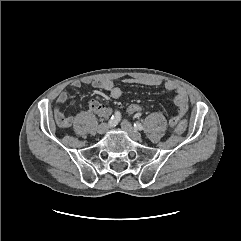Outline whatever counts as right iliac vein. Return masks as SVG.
Returning a JSON list of instances; mask_svg holds the SVG:
<instances>
[{
    "label": "right iliac vein",
    "instance_id": "1",
    "mask_svg": "<svg viewBox=\"0 0 241 241\" xmlns=\"http://www.w3.org/2000/svg\"><path fill=\"white\" fill-rule=\"evenodd\" d=\"M109 128V125L107 123H101L98 128H97V132L99 134H104Z\"/></svg>",
    "mask_w": 241,
    "mask_h": 241
}]
</instances>
